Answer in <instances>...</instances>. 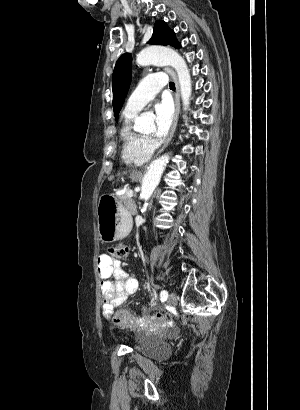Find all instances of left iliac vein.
Returning <instances> with one entry per match:
<instances>
[{
  "mask_svg": "<svg viewBox=\"0 0 300 410\" xmlns=\"http://www.w3.org/2000/svg\"><path fill=\"white\" fill-rule=\"evenodd\" d=\"M168 303L170 304V305H176V303H177V296H176V294L175 293H170V295H169V297H168Z\"/></svg>",
  "mask_w": 300,
  "mask_h": 410,
  "instance_id": "1",
  "label": "left iliac vein"
}]
</instances>
